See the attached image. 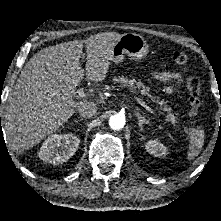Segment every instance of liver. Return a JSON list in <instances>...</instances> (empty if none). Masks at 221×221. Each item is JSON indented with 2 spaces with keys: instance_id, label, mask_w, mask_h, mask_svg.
I'll return each mask as SVG.
<instances>
[{
  "instance_id": "obj_1",
  "label": "liver",
  "mask_w": 221,
  "mask_h": 221,
  "mask_svg": "<svg viewBox=\"0 0 221 221\" xmlns=\"http://www.w3.org/2000/svg\"><path fill=\"white\" fill-rule=\"evenodd\" d=\"M120 37L116 32L98 33L45 48L28 61L10 94L5 116L8 143L17 154L57 131L87 102L76 99V87L84 75L95 82L105 79L112 48ZM84 44L85 70L80 62Z\"/></svg>"
}]
</instances>
